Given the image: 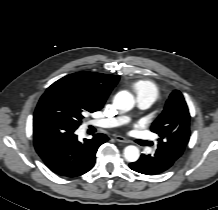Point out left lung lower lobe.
Returning a JSON list of instances; mask_svg holds the SVG:
<instances>
[{
    "mask_svg": "<svg viewBox=\"0 0 218 210\" xmlns=\"http://www.w3.org/2000/svg\"><path fill=\"white\" fill-rule=\"evenodd\" d=\"M178 158L177 155L168 156L163 151L157 148V150L153 154H142L136 162L130 163L129 167L132 170L142 174L154 175L162 173L169 169Z\"/></svg>",
    "mask_w": 218,
    "mask_h": 210,
    "instance_id": "0a47b994",
    "label": "left lung lower lobe"
}]
</instances>
